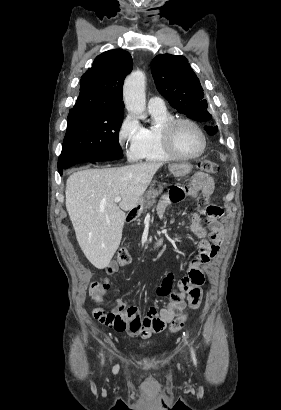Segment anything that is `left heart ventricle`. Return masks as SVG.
<instances>
[{
  "instance_id": "b2bd125f",
  "label": "left heart ventricle",
  "mask_w": 281,
  "mask_h": 410,
  "mask_svg": "<svg viewBox=\"0 0 281 410\" xmlns=\"http://www.w3.org/2000/svg\"><path fill=\"white\" fill-rule=\"evenodd\" d=\"M175 148L184 155H194L202 147V138L196 128L190 124H178L172 133Z\"/></svg>"
}]
</instances>
